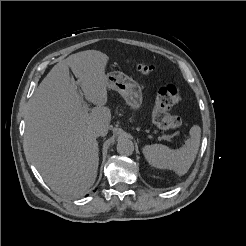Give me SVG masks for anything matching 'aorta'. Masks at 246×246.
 Returning a JSON list of instances; mask_svg holds the SVG:
<instances>
[{
    "label": "aorta",
    "mask_w": 246,
    "mask_h": 246,
    "mask_svg": "<svg viewBox=\"0 0 246 246\" xmlns=\"http://www.w3.org/2000/svg\"><path fill=\"white\" fill-rule=\"evenodd\" d=\"M134 151V144L126 135H121L117 139V152L120 155L129 156Z\"/></svg>",
    "instance_id": "aorta-1"
}]
</instances>
